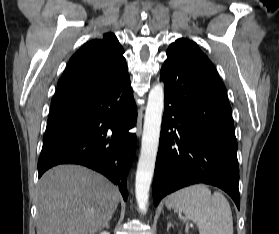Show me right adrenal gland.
<instances>
[{
    "label": "right adrenal gland",
    "instance_id": "obj_1",
    "mask_svg": "<svg viewBox=\"0 0 279 234\" xmlns=\"http://www.w3.org/2000/svg\"><path fill=\"white\" fill-rule=\"evenodd\" d=\"M111 219V218H110ZM110 219L105 223V227H107V228H109V221H110Z\"/></svg>",
    "mask_w": 279,
    "mask_h": 234
}]
</instances>
